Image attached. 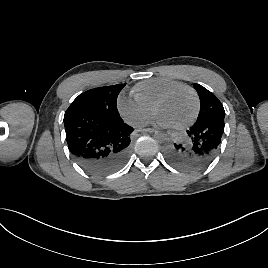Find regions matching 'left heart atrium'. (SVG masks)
<instances>
[{"instance_id":"1","label":"left heart atrium","mask_w":268,"mask_h":268,"mask_svg":"<svg viewBox=\"0 0 268 268\" xmlns=\"http://www.w3.org/2000/svg\"><path fill=\"white\" fill-rule=\"evenodd\" d=\"M156 123H157V125L158 126H160V127H164V128H166V127H170L166 122H164L163 120H161L160 118H156Z\"/></svg>"}]
</instances>
